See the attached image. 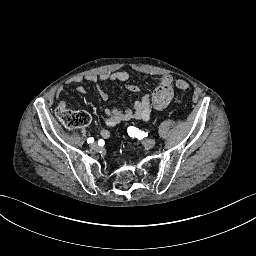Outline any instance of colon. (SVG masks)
<instances>
[{
    "label": "colon",
    "mask_w": 256,
    "mask_h": 256,
    "mask_svg": "<svg viewBox=\"0 0 256 256\" xmlns=\"http://www.w3.org/2000/svg\"><path fill=\"white\" fill-rule=\"evenodd\" d=\"M176 87L181 92H190V86L184 81H178ZM60 117L63 125L67 129H74L77 127L86 126L90 118L84 112L73 111L70 109H64L60 111Z\"/></svg>",
    "instance_id": "colon-1"
}]
</instances>
